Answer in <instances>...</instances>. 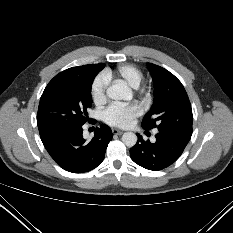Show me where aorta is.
<instances>
[{"mask_svg":"<svg viewBox=\"0 0 233 233\" xmlns=\"http://www.w3.org/2000/svg\"><path fill=\"white\" fill-rule=\"evenodd\" d=\"M106 93L107 96L113 100L132 99L131 89L122 81H117L108 87ZM122 142L128 147H133L137 142V136L133 132H126L122 136Z\"/></svg>","mask_w":233,"mask_h":233,"instance_id":"aorta-1","label":"aorta"}]
</instances>
